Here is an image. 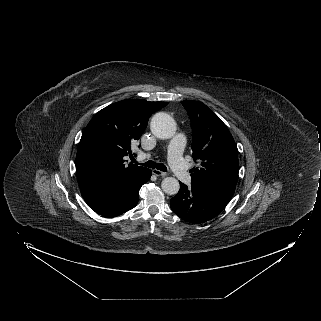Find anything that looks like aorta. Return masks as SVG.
Returning <instances> with one entry per match:
<instances>
[{
    "instance_id": "762f6f07",
    "label": "aorta",
    "mask_w": 321,
    "mask_h": 321,
    "mask_svg": "<svg viewBox=\"0 0 321 321\" xmlns=\"http://www.w3.org/2000/svg\"><path fill=\"white\" fill-rule=\"evenodd\" d=\"M151 132L160 139H169L174 136L176 123L174 119L164 112L156 113L150 123ZM162 190L168 195H175L180 189V184L173 177H166L161 183Z\"/></svg>"
}]
</instances>
